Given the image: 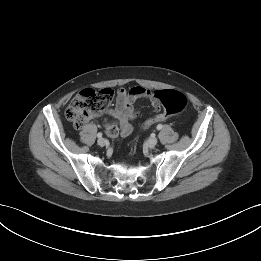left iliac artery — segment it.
Listing matches in <instances>:
<instances>
[{"instance_id": "1", "label": "left iliac artery", "mask_w": 261, "mask_h": 261, "mask_svg": "<svg viewBox=\"0 0 261 261\" xmlns=\"http://www.w3.org/2000/svg\"><path fill=\"white\" fill-rule=\"evenodd\" d=\"M162 127H163L162 124H158V125H157V130H161Z\"/></svg>"}]
</instances>
